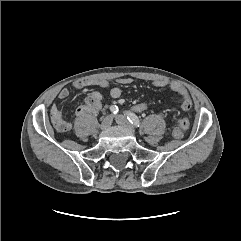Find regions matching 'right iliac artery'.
I'll list each match as a JSON object with an SVG mask.
<instances>
[{
    "mask_svg": "<svg viewBox=\"0 0 241 241\" xmlns=\"http://www.w3.org/2000/svg\"><path fill=\"white\" fill-rule=\"evenodd\" d=\"M110 111L114 114V115H117L119 109L116 105H112L110 106Z\"/></svg>",
    "mask_w": 241,
    "mask_h": 241,
    "instance_id": "1",
    "label": "right iliac artery"
}]
</instances>
